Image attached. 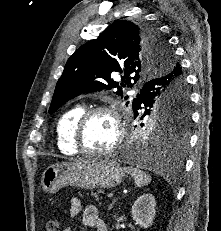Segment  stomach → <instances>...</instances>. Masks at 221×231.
<instances>
[{
	"label": "stomach",
	"mask_w": 221,
	"mask_h": 231,
	"mask_svg": "<svg viewBox=\"0 0 221 231\" xmlns=\"http://www.w3.org/2000/svg\"><path fill=\"white\" fill-rule=\"evenodd\" d=\"M124 178L123 169L114 160H82L49 166L42 174L41 186L46 193H55L66 186L108 189L121 184Z\"/></svg>",
	"instance_id": "1"
}]
</instances>
